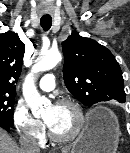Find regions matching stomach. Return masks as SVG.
Here are the masks:
<instances>
[{
    "label": "stomach",
    "mask_w": 130,
    "mask_h": 153,
    "mask_svg": "<svg viewBox=\"0 0 130 153\" xmlns=\"http://www.w3.org/2000/svg\"><path fill=\"white\" fill-rule=\"evenodd\" d=\"M120 128L115 114L99 107L75 141L71 153H115Z\"/></svg>",
    "instance_id": "1"
}]
</instances>
